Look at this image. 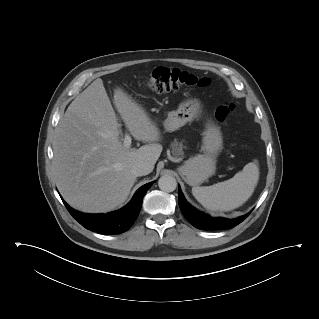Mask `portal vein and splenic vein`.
<instances>
[{
  "mask_svg": "<svg viewBox=\"0 0 319 319\" xmlns=\"http://www.w3.org/2000/svg\"><path fill=\"white\" fill-rule=\"evenodd\" d=\"M124 146L127 148H130L131 145V137L129 134H126L124 137V142H123Z\"/></svg>",
  "mask_w": 319,
  "mask_h": 319,
  "instance_id": "obj_1",
  "label": "portal vein and splenic vein"
}]
</instances>
